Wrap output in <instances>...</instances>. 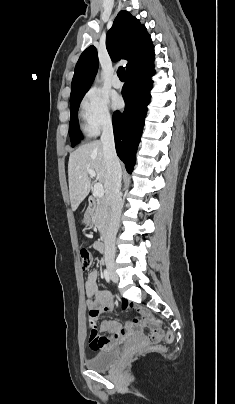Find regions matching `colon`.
<instances>
[{"label":"colon","mask_w":235,"mask_h":404,"mask_svg":"<svg viewBox=\"0 0 235 404\" xmlns=\"http://www.w3.org/2000/svg\"><path fill=\"white\" fill-rule=\"evenodd\" d=\"M81 267L83 270H87L90 268L92 264V255L88 248L82 246L79 250ZM144 316H146V312H144ZM95 314H89V330H90V337L94 338V342L96 344H102L105 342L104 338L97 337V326L95 321ZM156 319L150 318L148 325L151 327V330L148 334L149 340L153 343H160L162 341L171 342L172 335L171 333H165L160 328L156 327Z\"/></svg>","instance_id":"colon-1"}]
</instances>
